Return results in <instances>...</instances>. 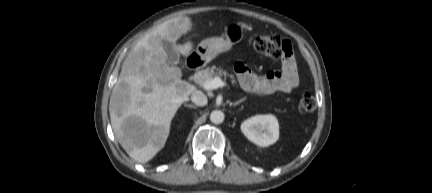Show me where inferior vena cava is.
Instances as JSON below:
<instances>
[{"instance_id": "obj_1", "label": "inferior vena cava", "mask_w": 432, "mask_h": 193, "mask_svg": "<svg viewBox=\"0 0 432 193\" xmlns=\"http://www.w3.org/2000/svg\"><path fill=\"white\" fill-rule=\"evenodd\" d=\"M191 101L198 106H204L208 100L202 91L196 90L191 94Z\"/></svg>"}]
</instances>
